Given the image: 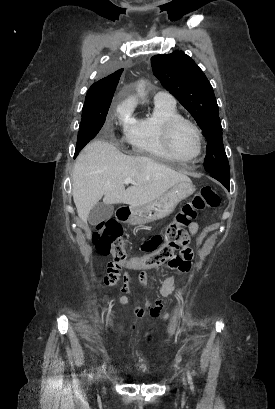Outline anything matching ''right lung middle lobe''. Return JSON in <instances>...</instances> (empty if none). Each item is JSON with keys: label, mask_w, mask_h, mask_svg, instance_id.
<instances>
[{"label": "right lung middle lobe", "mask_w": 275, "mask_h": 409, "mask_svg": "<svg viewBox=\"0 0 275 409\" xmlns=\"http://www.w3.org/2000/svg\"><path fill=\"white\" fill-rule=\"evenodd\" d=\"M120 70V64H102L101 66L102 73H120ZM110 104L111 102L97 105L84 104L74 158L100 131L106 120Z\"/></svg>", "instance_id": "obj_1"}]
</instances>
